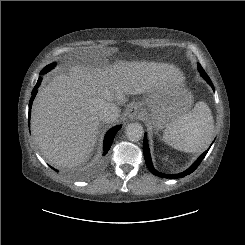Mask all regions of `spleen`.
Wrapping results in <instances>:
<instances>
[{"mask_svg":"<svg viewBox=\"0 0 245 245\" xmlns=\"http://www.w3.org/2000/svg\"><path fill=\"white\" fill-rule=\"evenodd\" d=\"M213 135L211 110L205 102H198L192 112L164 130L163 139L177 150L199 153L208 148Z\"/></svg>","mask_w":245,"mask_h":245,"instance_id":"spleen-1","label":"spleen"}]
</instances>
